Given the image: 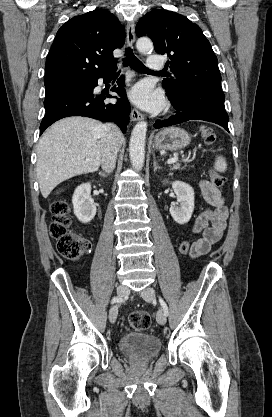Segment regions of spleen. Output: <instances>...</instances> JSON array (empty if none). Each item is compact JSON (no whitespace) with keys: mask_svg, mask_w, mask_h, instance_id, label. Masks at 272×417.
<instances>
[{"mask_svg":"<svg viewBox=\"0 0 272 417\" xmlns=\"http://www.w3.org/2000/svg\"><path fill=\"white\" fill-rule=\"evenodd\" d=\"M214 169L219 172H225L227 169V163H226L225 158H223L222 156L217 157L215 161Z\"/></svg>","mask_w":272,"mask_h":417,"instance_id":"obj_1","label":"spleen"}]
</instances>
